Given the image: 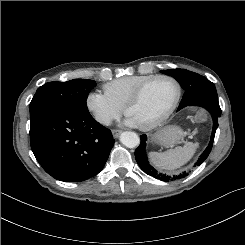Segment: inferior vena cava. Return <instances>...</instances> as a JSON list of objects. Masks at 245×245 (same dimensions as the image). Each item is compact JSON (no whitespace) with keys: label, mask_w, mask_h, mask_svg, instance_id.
<instances>
[{"label":"inferior vena cava","mask_w":245,"mask_h":245,"mask_svg":"<svg viewBox=\"0 0 245 245\" xmlns=\"http://www.w3.org/2000/svg\"><path fill=\"white\" fill-rule=\"evenodd\" d=\"M103 124L110 125L111 124V119H109V118L104 119L103 120Z\"/></svg>","instance_id":"obj_1"}]
</instances>
